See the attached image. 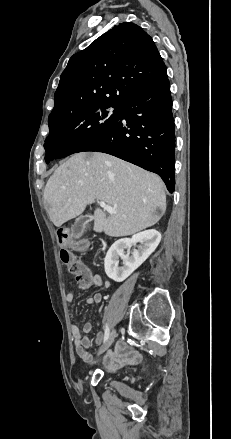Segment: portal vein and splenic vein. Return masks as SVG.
<instances>
[{"instance_id":"1","label":"portal vein and splenic vein","mask_w":231,"mask_h":439,"mask_svg":"<svg viewBox=\"0 0 231 439\" xmlns=\"http://www.w3.org/2000/svg\"><path fill=\"white\" fill-rule=\"evenodd\" d=\"M99 205H100L101 208H103L105 211H107L110 214L116 213V209L113 208L112 206L106 204L104 201H100Z\"/></svg>"}]
</instances>
